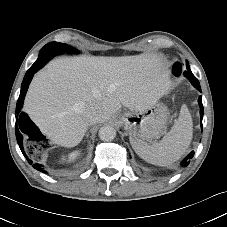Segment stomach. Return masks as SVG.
Instances as JSON below:
<instances>
[{
    "instance_id": "obj_1",
    "label": "stomach",
    "mask_w": 227,
    "mask_h": 227,
    "mask_svg": "<svg viewBox=\"0 0 227 227\" xmlns=\"http://www.w3.org/2000/svg\"><path fill=\"white\" fill-rule=\"evenodd\" d=\"M169 110L163 103H156L141 112H126L121 122L130 138L146 142L160 137L167 126Z\"/></svg>"
}]
</instances>
